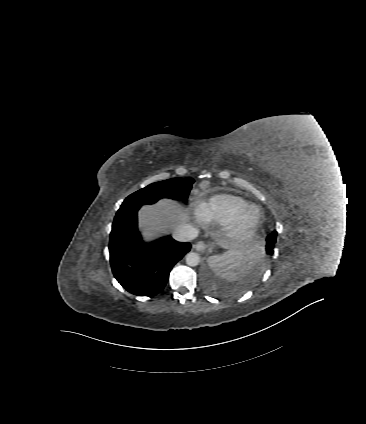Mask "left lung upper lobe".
Instances as JSON below:
<instances>
[{"label": "left lung upper lobe", "instance_id": "5c2ea615", "mask_svg": "<svg viewBox=\"0 0 366 424\" xmlns=\"http://www.w3.org/2000/svg\"><path fill=\"white\" fill-rule=\"evenodd\" d=\"M276 237L277 232L273 231L271 234H269L266 238L267 244H266V252L270 255L273 254V248L276 243Z\"/></svg>", "mask_w": 366, "mask_h": 424}]
</instances>
